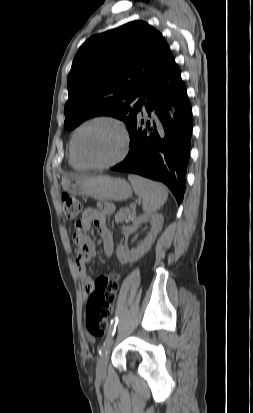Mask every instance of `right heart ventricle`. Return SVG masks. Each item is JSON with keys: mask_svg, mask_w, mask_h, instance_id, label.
Wrapping results in <instances>:
<instances>
[{"mask_svg": "<svg viewBox=\"0 0 253 413\" xmlns=\"http://www.w3.org/2000/svg\"><path fill=\"white\" fill-rule=\"evenodd\" d=\"M69 164L75 168V169H80L81 166L74 160L72 153H71V147L69 146V156H68Z\"/></svg>", "mask_w": 253, "mask_h": 413, "instance_id": "obj_1", "label": "right heart ventricle"}]
</instances>
